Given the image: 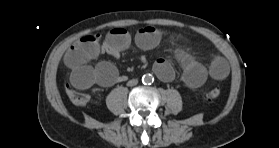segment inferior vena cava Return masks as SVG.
<instances>
[{"instance_id": "inferior-vena-cava-1", "label": "inferior vena cava", "mask_w": 279, "mask_h": 148, "mask_svg": "<svg viewBox=\"0 0 279 148\" xmlns=\"http://www.w3.org/2000/svg\"><path fill=\"white\" fill-rule=\"evenodd\" d=\"M137 83H138L137 79H132V80L128 81L127 85L128 86H135V85H137Z\"/></svg>"}]
</instances>
